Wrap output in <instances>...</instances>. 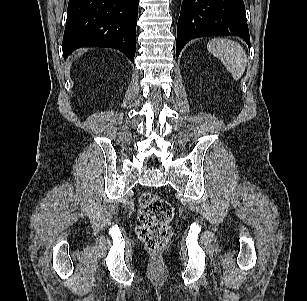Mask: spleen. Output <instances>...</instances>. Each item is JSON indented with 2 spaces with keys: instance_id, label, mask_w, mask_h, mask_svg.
<instances>
[{
  "instance_id": "spleen-1",
  "label": "spleen",
  "mask_w": 307,
  "mask_h": 301,
  "mask_svg": "<svg viewBox=\"0 0 307 301\" xmlns=\"http://www.w3.org/2000/svg\"><path fill=\"white\" fill-rule=\"evenodd\" d=\"M210 53L216 56L235 80L244 74L247 65V56L243 47L229 39L214 38L207 44Z\"/></svg>"
}]
</instances>
